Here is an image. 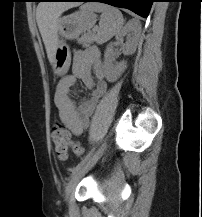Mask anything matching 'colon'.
<instances>
[{
	"mask_svg": "<svg viewBox=\"0 0 202 217\" xmlns=\"http://www.w3.org/2000/svg\"><path fill=\"white\" fill-rule=\"evenodd\" d=\"M55 153L59 159L64 160L71 149L77 156L83 154V147L78 141L70 139L68 129L62 123H56L51 132Z\"/></svg>",
	"mask_w": 202,
	"mask_h": 217,
	"instance_id": "obj_1",
	"label": "colon"
}]
</instances>
